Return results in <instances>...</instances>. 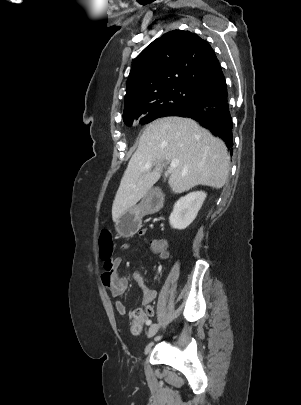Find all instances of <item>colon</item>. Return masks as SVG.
Returning <instances> with one entry per match:
<instances>
[{
  "instance_id": "obj_1",
  "label": "colon",
  "mask_w": 301,
  "mask_h": 405,
  "mask_svg": "<svg viewBox=\"0 0 301 405\" xmlns=\"http://www.w3.org/2000/svg\"><path fill=\"white\" fill-rule=\"evenodd\" d=\"M99 252L100 257L104 261L105 265L110 266L113 254V241L110 231L104 229L99 235ZM135 323L133 325V330L138 332L140 330V321L143 315L140 312L134 313Z\"/></svg>"
}]
</instances>
